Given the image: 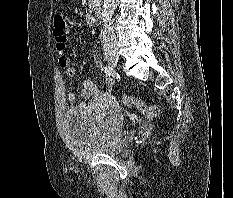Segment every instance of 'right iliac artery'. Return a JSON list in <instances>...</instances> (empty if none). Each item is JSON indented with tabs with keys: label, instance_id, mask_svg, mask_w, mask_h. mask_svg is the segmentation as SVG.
Masks as SVG:
<instances>
[{
	"label": "right iliac artery",
	"instance_id": "right-iliac-artery-1",
	"mask_svg": "<svg viewBox=\"0 0 233 198\" xmlns=\"http://www.w3.org/2000/svg\"><path fill=\"white\" fill-rule=\"evenodd\" d=\"M106 76H112L114 74V70L110 65H107L104 70Z\"/></svg>",
	"mask_w": 233,
	"mask_h": 198
}]
</instances>
